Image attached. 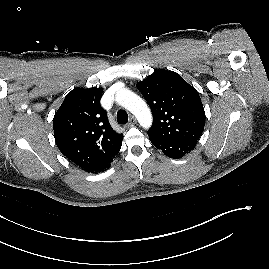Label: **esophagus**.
<instances>
[{
  "mask_svg": "<svg viewBox=\"0 0 269 269\" xmlns=\"http://www.w3.org/2000/svg\"><path fill=\"white\" fill-rule=\"evenodd\" d=\"M136 124V118L134 116H131L128 124L126 125V127H131L134 126Z\"/></svg>",
  "mask_w": 269,
  "mask_h": 269,
  "instance_id": "1",
  "label": "esophagus"
}]
</instances>
